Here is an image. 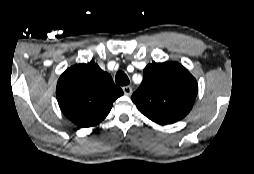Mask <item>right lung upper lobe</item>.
<instances>
[{
  "label": "right lung upper lobe",
  "instance_id": "1",
  "mask_svg": "<svg viewBox=\"0 0 254 174\" xmlns=\"http://www.w3.org/2000/svg\"><path fill=\"white\" fill-rule=\"evenodd\" d=\"M56 95L63 114L84 128L100 123L123 91L110 74L90 62L68 68L58 80Z\"/></svg>",
  "mask_w": 254,
  "mask_h": 174
}]
</instances>
